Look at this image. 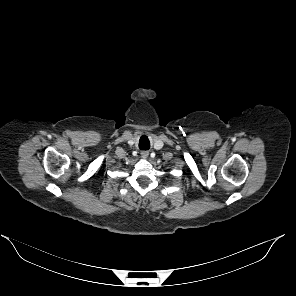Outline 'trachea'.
<instances>
[{"instance_id": "1", "label": "trachea", "mask_w": 296, "mask_h": 296, "mask_svg": "<svg viewBox=\"0 0 296 296\" xmlns=\"http://www.w3.org/2000/svg\"><path fill=\"white\" fill-rule=\"evenodd\" d=\"M140 148L141 149H145V150H147L149 147L147 146V147H142V146H140Z\"/></svg>"}]
</instances>
